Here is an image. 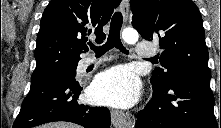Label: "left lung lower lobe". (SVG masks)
Listing matches in <instances>:
<instances>
[{
  "mask_svg": "<svg viewBox=\"0 0 221 128\" xmlns=\"http://www.w3.org/2000/svg\"><path fill=\"white\" fill-rule=\"evenodd\" d=\"M153 97L137 114V128H221L214 115L210 78L182 75Z\"/></svg>",
  "mask_w": 221,
  "mask_h": 128,
  "instance_id": "obj_1",
  "label": "left lung lower lobe"
}]
</instances>
